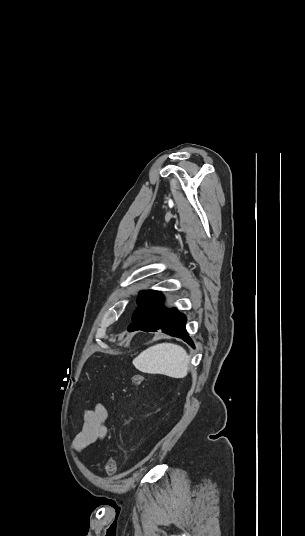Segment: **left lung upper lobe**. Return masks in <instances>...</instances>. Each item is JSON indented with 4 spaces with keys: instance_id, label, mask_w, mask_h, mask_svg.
<instances>
[{
    "instance_id": "obj_1",
    "label": "left lung upper lobe",
    "mask_w": 305,
    "mask_h": 536,
    "mask_svg": "<svg viewBox=\"0 0 305 536\" xmlns=\"http://www.w3.org/2000/svg\"><path fill=\"white\" fill-rule=\"evenodd\" d=\"M156 293L157 291L154 290L140 292L137 299L138 306Z\"/></svg>"
}]
</instances>
